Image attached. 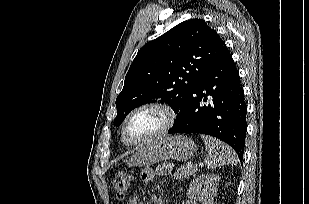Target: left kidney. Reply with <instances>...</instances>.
<instances>
[{
    "mask_svg": "<svg viewBox=\"0 0 309 204\" xmlns=\"http://www.w3.org/2000/svg\"><path fill=\"white\" fill-rule=\"evenodd\" d=\"M219 176L215 174H202L195 177L190 183L187 196L202 202L213 204L218 190Z\"/></svg>",
    "mask_w": 309,
    "mask_h": 204,
    "instance_id": "1",
    "label": "left kidney"
}]
</instances>
